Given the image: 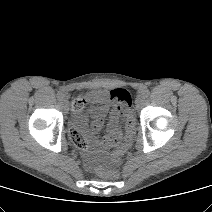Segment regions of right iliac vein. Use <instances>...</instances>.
I'll return each instance as SVG.
<instances>
[{
	"instance_id": "63e3f726",
	"label": "right iliac vein",
	"mask_w": 212,
	"mask_h": 212,
	"mask_svg": "<svg viewBox=\"0 0 212 212\" xmlns=\"http://www.w3.org/2000/svg\"><path fill=\"white\" fill-rule=\"evenodd\" d=\"M61 103H62L65 111L68 112V101H67V98L65 96H63V98L61 99Z\"/></svg>"
}]
</instances>
